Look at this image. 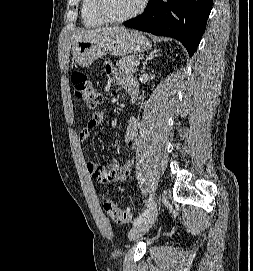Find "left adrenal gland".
<instances>
[{
    "instance_id": "a2214340",
    "label": "left adrenal gland",
    "mask_w": 253,
    "mask_h": 271,
    "mask_svg": "<svg viewBox=\"0 0 253 271\" xmlns=\"http://www.w3.org/2000/svg\"><path fill=\"white\" fill-rule=\"evenodd\" d=\"M159 52H160V49L158 50L155 49L149 53V55L146 57L145 61L143 62L141 73H144L145 67L148 64V61L152 60L154 57L160 56Z\"/></svg>"
}]
</instances>
